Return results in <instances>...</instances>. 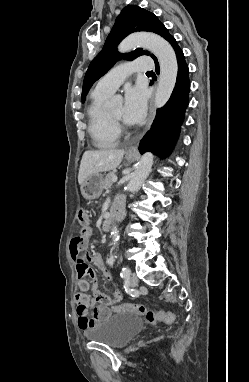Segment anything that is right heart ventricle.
<instances>
[{"label":"right heart ventricle","instance_id":"right-heart-ventricle-1","mask_svg":"<svg viewBox=\"0 0 249 382\" xmlns=\"http://www.w3.org/2000/svg\"><path fill=\"white\" fill-rule=\"evenodd\" d=\"M109 96L110 94L94 90L87 109L89 133L94 145L101 149L112 148L119 140V131L105 109Z\"/></svg>","mask_w":249,"mask_h":382}]
</instances>
